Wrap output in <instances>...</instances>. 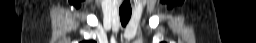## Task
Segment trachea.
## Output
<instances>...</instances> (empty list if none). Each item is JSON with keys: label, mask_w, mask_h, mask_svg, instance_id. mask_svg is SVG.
Segmentation results:
<instances>
[{"label": "trachea", "mask_w": 256, "mask_h": 43, "mask_svg": "<svg viewBox=\"0 0 256 43\" xmlns=\"http://www.w3.org/2000/svg\"><path fill=\"white\" fill-rule=\"evenodd\" d=\"M131 10H119V15H120V21L123 27L127 25L131 18Z\"/></svg>", "instance_id": "1"}]
</instances>
